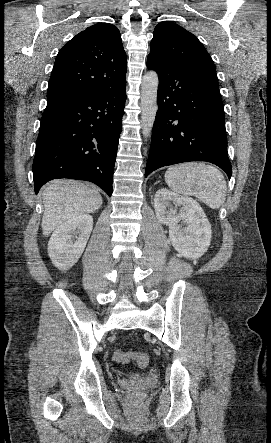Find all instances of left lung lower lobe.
<instances>
[{"label": "left lung lower lobe", "mask_w": 271, "mask_h": 443, "mask_svg": "<svg viewBox=\"0 0 271 443\" xmlns=\"http://www.w3.org/2000/svg\"><path fill=\"white\" fill-rule=\"evenodd\" d=\"M147 67L158 73L159 87L145 177L163 166L207 161L223 169L230 179L232 167L216 71L152 54Z\"/></svg>", "instance_id": "left-lung-lower-lobe-1"}]
</instances>
